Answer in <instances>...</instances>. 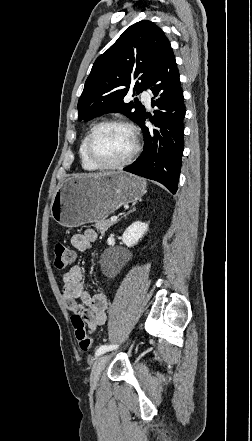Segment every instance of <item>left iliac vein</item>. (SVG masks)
<instances>
[{
    "label": "left iliac vein",
    "mask_w": 252,
    "mask_h": 441,
    "mask_svg": "<svg viewBox=\"0 0 252 441\" xmlns=\"http://www.w3.org/2000/svg\"><path fill=\"white\" fill-rule=\"evenodd\" d=\"M108 359H109V355H101L96 359L92 367L91 376H90V381L93 386L98 384L101 377V373Z\"/></svg>",
    "instance_id": "left-iliac-vein-1"
}]
</instances>
